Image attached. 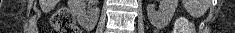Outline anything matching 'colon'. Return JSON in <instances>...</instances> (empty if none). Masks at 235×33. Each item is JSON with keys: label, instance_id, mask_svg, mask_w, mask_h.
I'll list each match as a JSON object with an SVG mask.
<instances>
[{"label": "colon", "instance_id": "5ec220e1", "mask_svg": "<svg viewBox=\"0 0 235 33\" xmlns=\"http://www.w3.org/2000/svg\"><path fill=\"white\" fill-rule=\"evenodd\" d=\"M53 33H80L75 18L66 7L59 8L52 17ZM192 26L186 19H179L175 25V33H190Z\"/></svg>", "mask_w": 235, "mask_h": 33}]
</instances>
